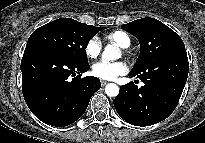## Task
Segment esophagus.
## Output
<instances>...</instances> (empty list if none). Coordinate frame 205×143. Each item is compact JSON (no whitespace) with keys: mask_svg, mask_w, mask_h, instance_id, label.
<instances>
[{"mask_svg":"<svg viewBox=\"0 0 205 143\" xmlns=\"http://www.w3.org/2000/svg\"><path fill=\"white\" fill-rule=\"evenodd\" d=\"M107 83H108L107 81L101 80V85H102V86H105Z\"/></svg>","mask_w":205,"mask_h":143,"instance_id":"obj_1","label":"esophagus"}]
</instances>
